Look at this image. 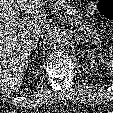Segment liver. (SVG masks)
I'll return each mask as SVG.
<instances>
[{"label": "liver", "mask_w": 113, "mask_h": 113, "mask_svg": "<svg viewBox=\"0 0 113 113\" xmlns=\"http://www.w3.org/2000/svg\"><path fill=\"white\" fill-rule=\"evenodd\" d=\"M42 6V0H0L1 93L16 92L23 83L33 44V30L47 24ZM20 10L32 14L23 29L15 27Z\"/></svg>", "instance_id": "liver-1"}]
</instances>
